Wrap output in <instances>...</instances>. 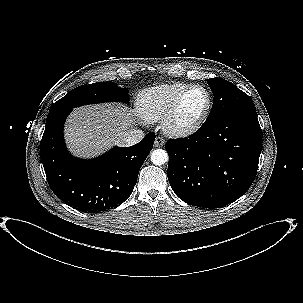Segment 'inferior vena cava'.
Here are the masks:
<instances>
[{
  "mask_svg": "<svg viewBox=\"0 0 303 303\" xmlns=\"http://www.w3.org/2000/svg\"><path fill=\"white\" fill-rule=\"evenodd\" d=\"M145 134L142 130L131 129L125 132L121 137L122 146H132L140 142Z\"/></svg>",
  "mask_w": 303,
  "mask_h": 303,
  "instance_id": "1",
  "label": "inferior vena cava"
}]
</instances>
